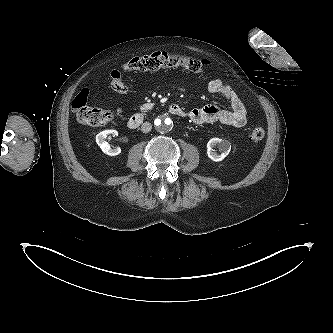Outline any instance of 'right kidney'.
Segmentation results:
<instances>
[{"label": "right kidney", "mask_w": 333, "mask_h": 333, "mask_svg": "<svg viewBox=\"0 0 333 333\" xmlns=\"http://www.w3.org/2000/svg\"><path fill=\"white\" fill-rule=\"evenodd\" d=\"M108 134H112L113 136L117 135L118 132L116 130H104L96 135V143L100 146L101 150L109 155L115 156L121 153L120 147L112 149L109 144L105 141V138Z\"/></svg>", "instance_id": "1"}]
</instances>
